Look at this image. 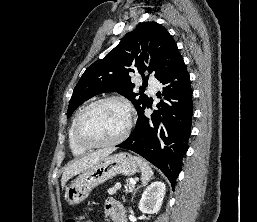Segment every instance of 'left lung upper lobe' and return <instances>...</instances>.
Here are the masks:
<instances>
[{"instance_id":"5c2ea615","label":"left lung upper lobe","mask_w":257,"mask_h":222,"mask_svg":"<svg viewBox=\"0 0 257 222\" xmlns=\"http://www.w3.org/2000/svg\"><path fill=\"white\" fill-rule=\"evenodd\" d=\"M181 58L175 41L164 27L156 22L140 23L103 59L86 69L73 91L67 117L91 97L112 91L128 98L139 112L145 108L148 97L133 92L130 74L138 72L144 76L145 71H155L154 76L160 80Z\"/></svg>"}]
</instances>
